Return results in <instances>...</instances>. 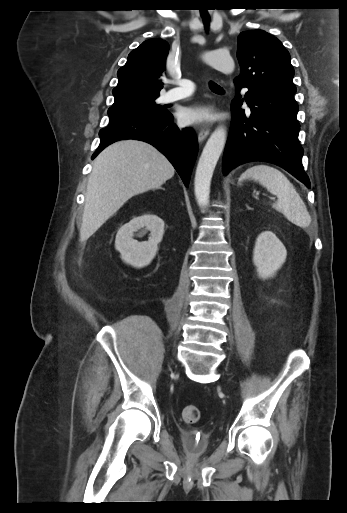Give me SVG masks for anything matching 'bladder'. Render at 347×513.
Masks as SVG:
<instances>
[{"label": "bladder", "instance_id": "obj_1", "mask_svg": "<svg viewBox=\"0 0 347 513\" xmlns=\"http://www.w3.org/2000/svg\"><path fill=\"white\" fill-rule=\"evenodd\" d=\"M181 438L184 450L192 455H203L210 448V438L197 430L185 429Z\"/></svg>", "mask_w": 347, "mask_h": 513}]
</instances>
